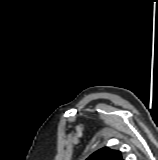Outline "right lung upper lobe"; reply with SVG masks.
<instances>
[{
  "label": "right lung upper lobe",
  "instance_id": "obj_1",
  "mask_svg": "<svg viewBox=\"0 0 158 160\" xmlns=\"http://www.w3.org/2000/svg\"><path fill=\"white\" fill-rule=\"evenodd\" d=\"M86 160H123L120 151L108 147L97 150Z\"/></svg>",
  "mask_w": 158,
  "mask_h": 160
}]
</instances>
